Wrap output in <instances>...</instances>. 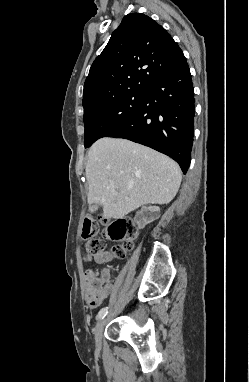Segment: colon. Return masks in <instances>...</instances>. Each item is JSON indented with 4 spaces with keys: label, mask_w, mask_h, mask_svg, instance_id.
I'll return each mask as SVG.
<instances>
[{
    "label": "colon",
    "mask_w": 249,
    "mask_h": 382,
    "mask_svg": "<svg viewBox=\"0 0 249 382\" xmlns=\"http://www.w3.org/2000/svg\"><path fill=\"white\" fill-rule=\"evenodd\" d=\"M107 225L104 237L108 240L119 242L113 252L117 258L124 257L125 253L132 248L133 242L137 238L139 226L129 219L104 220ZM99 229L98 221L92 215H86L82 224V237L87 240L86 249L88 254L96 255L103 251L105 242L95 238ZM86 276L91 278L95 288L94 299L104 298L109 290L110 284L107 281H98L100 275L93 269L86 270Z\"/></svg>",
    "instance_id": "obj_1"
}]
</instances>
